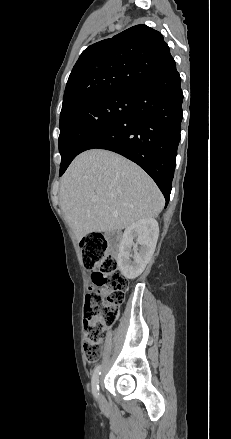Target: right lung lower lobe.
Here are the masks:
<instances>
[{"instance_id": "1", "label": "right lung lower lobe", "mask_w": 231, "mask_h": 439, "mask_svg": "<svg viewBox=\"0 0 231 439\" xmlns=\"http://www.w3.org/2000/svg\"><path fill=\"white\" fill-rule=\"evenodd\" d=\"M133 94V109L97 131L79 153L99 148L132 160L153 178L167 204L183 118V93L176 65Z\"/></svg>"}]
</instances>
